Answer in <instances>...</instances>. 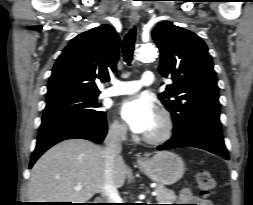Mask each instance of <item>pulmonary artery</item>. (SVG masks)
Instances as JSON below:
<instances>
[{
    "instance_id": "1",
    "label": "pulmonary artery",
    "mask_w": 253,
    "mask_h": 205,
    "mask_svg": "<svg viewBox=\"0 0 253 205\" xmlns=\"http://www.w3.org/2000/svg\"><path fill=\"white\" fill-rule=\"evenodd\" d=\"M155 82V74L152 71H145L139 81H112V86L104 89L101 97L131 94L138 91L141 87L152 85Z\"/></svg>"
}]
</instances>
